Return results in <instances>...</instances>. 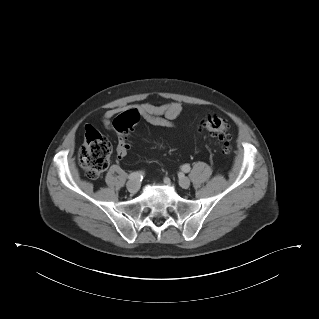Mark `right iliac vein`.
<instances>
[{
  "mask_svg": "<svg viewBox=\"0 0 319 319\" xmlns=\"http://www.w3.org/2000/svg\"><path fill=\"white\" fill-rule=\"evenodd\" d=\"M140 188V183L136 180H131L127 183V189L130 193H136Z\"/></svg>",
  "mask_w": 319,
  "mask_h": 319,
  "instance_id": "1",
  "label": "right iliac vein"
}]
</instances>
